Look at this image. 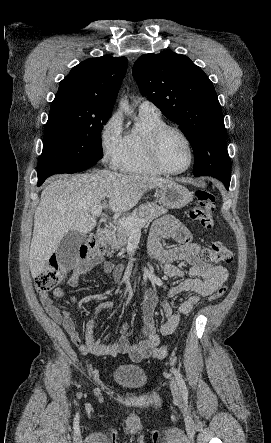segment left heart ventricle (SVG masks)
Segmentation results:
<instances>
[{
    "label": "left heart ventricle",
    "instance_id": "left-heart-ventricle-1",
    "mask_svg": "<svg viewBox=\"0 0 271 443\" xmlns=\"http://www.w3.org/2000/svg\"><path fill=\"white\" fill-rule=\"evenodd\" d=\"M159 151L162 161L171 169L185 167L190 159L185 140L176 132H168L163 137Z\"/></svg>",
    "mask_w": 271,
    "mask_h": 443
}]
</instances>
